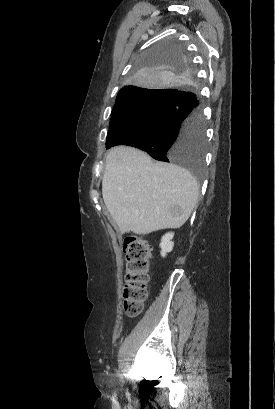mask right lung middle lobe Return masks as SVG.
<instances>
[{"label": "right lung middle lobe", "instance_id": "1", "mask_svg": "<svg viewBox=\"0 0 275 409\" xmlns=\"http://www.w3.org/2000/svg\"><path fill=\"white\" fill-rule=\"evenodd\" d=\"M144 50L134 64L126 85L135 90L114 105L106 148L116 145L136 147L156 160L194 172V182H203L205 153L202 106L198 82L180 47L174 42Z\"/></svg>", "mask_w": 275, "mask_h": 409}]
</instances>
